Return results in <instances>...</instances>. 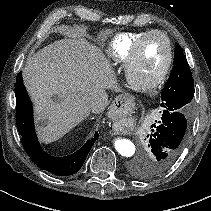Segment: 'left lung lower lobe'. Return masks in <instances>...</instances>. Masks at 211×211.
<instances>
[{
    "label": "left lung lower lobe",
    "instance_id": "0a47b994",
    "mask_svg": "<svg viewBox=\"0 0 211 211\" xmlns=\"http://www.w3.org/2000/svg\"><path fill=\"white\" fill-rule=\"evenodd\" d=\"M188 121L187 112L164 111L161 119L151 125L145 141L146 154L153 158V173L167 168L177 158L184 144Z\"/></svg>",
    "mask_w": 211,
    "mask_h": 211
}]
</instances>
